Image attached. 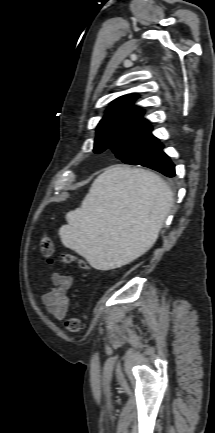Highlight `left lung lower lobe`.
<instances>
[{
	"instance_id": "1",
	"label": "left lung lower lobe",
	"mask_w": 215,
	"mask_h": 433,
	"mask_svg": "<svg viewBox=\"0 0 215 433\" xmlns=\"http://www.w3.org/2000/svg\"><path fill=\"white\" fill-rule=\"evenodd\" d=\"M167 177L175 176V165L171 162L170 158L164 153L161 164L154 169Z\"/></svg>"
}]
</instances>
